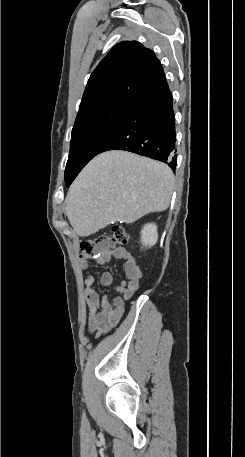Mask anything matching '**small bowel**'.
<instances>
[{"label": "small bowel", "instance_id": "c3829d8e", "mask_svg": "<svg viewBox=\"0 0 245 457\" xmlns=\"http://www.w3.org/2000/svg\"><path fill=\"white\" fill-rule=\"evenodd\" d=\"M113 257L123 261L126 279L121 280L116 286L117 296L112 302L96 290L94 275L90 274L84 280L85 300L89 309L86 330L89 334H95L97 337L107 333L119 322L125 311L126 301L139 288L142 278V271L139 265L130 252L123 247L109 250L93 257V259H81L80 267L83 270L87 269L91 261L105 264ZM112 281L113 277L109 272L103 273L99 279L101 286H109Z\"/></svg>", "mask_w": 245, "mask_h": 457}]
</instances>
